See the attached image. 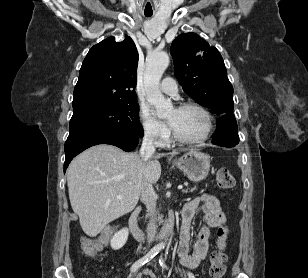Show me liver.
I'll list each match as a JSON object with an SVG mask.
<instances>
[{
    "label": "liver",
    "mask_w": 308,
    "mask_h": 278,
    "mask_svg": "<svg viewBox=\"0 0 308 278\" xmlns=\"http://www.w3.org/2000/svg\"><path fill=\"white\" fill-rule=\"evenodd\" d=\"M163 155L144 161L136 153L100 144L72 160L67 170L69 199L86 235L95 237L108 223L135 208L142 185L159 180L158 159Z\"/></svg>",
    "instance_id": "1"
}]
</instances>
